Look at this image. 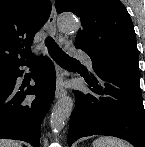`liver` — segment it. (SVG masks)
Listing matches in <instances>:
<instances>
[{
  "label": "liver",
  "instance_id": "6515ba94",
  "mask_svg": "<svg viewBox=\"0 0 145 147\" xmlns=\"http://www.w3.org/2000/svg\"><path fill=\"white\" fill-rule=\"evenodd\" d=\"M0 147H22L20 143L13 140L0 139Z\"/></svg>",
  "mask_w": 145,
  "mask_h": 147
}]
</instances>
